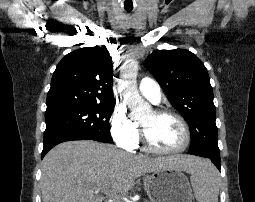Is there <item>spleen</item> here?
<instances>
[{"label":"spleen","instance_id":"1","mask_svg":"<svg viewBox=\"0 0 255 202\" xmlns=\"http://www.w3.org/2000/svg\"><path fill=\"white\" fill-rule=\"evenodd\" d=\"M198 163L191 173V184L198 202H218L220 176L207 160Z\"/></svg>","mask_w":255,"mask_h":202}]
</instances>
